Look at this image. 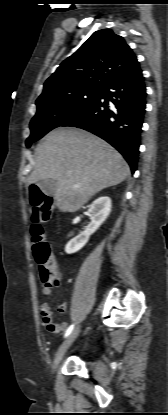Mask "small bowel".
<instances>
[{
  "label": "small bowel",
  "instance_id": "small-bowel-1",
  "mask_svg": "<svg viewBox=\"0 0 168 415\" xmlns=\"http://www.w3.org/2000/svg\"><path fill=\"white\" fill-rule=\"evenodd\" d=\"M52 288L59 289L60 288L59 281L55 285H53V286L44 285L42 287V290H41L42 291V294L44 296H49L51 294ZM57 310L60 313L65 312V310H66L65 304L64 303L59 304L58 307H57ZM40 313H41L43 322H44V324L46 325V327H47V329L49 331H52V332H61V331H63L65 329V327L67 325L66 322L56 323L54 321L51 307H50V305L47 302H44V303L41 304V306H40Z\"/></svg>",
  "mask_w": 168,
  "mask_h": 415
}]
</instances>
